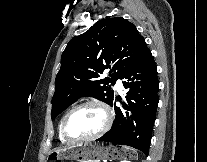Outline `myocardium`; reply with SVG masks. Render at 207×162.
Listing matches in <instances>:
<instances>
[{
	"mask_svg": "<svg viewBox=\"0 0 207 162\" xmlns=\"http://www.w3.org/2000/svg\"><path fill=\"white\" fill-rule=\"evenodd\" d=\"M87 106H97L99 107L103 113H104V124L102 128L95 134L87 136V137H82V138H70L66 134V124L69 118L78 110L87 107ZM113 121V112L111 107L104 101L100 99H91L87 100L76 107H74L72 110H70L62 119L61 124H60V138L65 141V142H84V141H90V140H95L102 135H104L111 127Z\"/></svg>",
	"mask_w": 207,
	"mask_h": 162,
	"instance_id": "myocardium-1",
	"label": "myocardium"
}]
</instances>
